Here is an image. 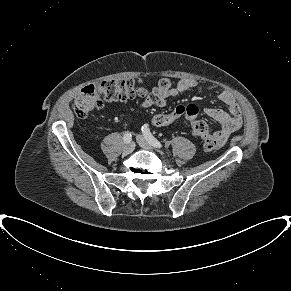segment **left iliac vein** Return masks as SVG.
Listing matches in <instances>:
<instances>
[{"mask_svg": "<svg viewBox=\"0 0 291 291\" xmlns=\"http://www.w3.org/2000/svg\"><path fill=\"white\" fill-rule=\"evenodd\" d=\"M137 143L145 150H152V145L142 135H137Z\"/></svg>", "mask_w": 291, "mask_h": 291, "instance_id": "left-iliac-vein-1", "label": "left iliac vein"}]
</instances>
